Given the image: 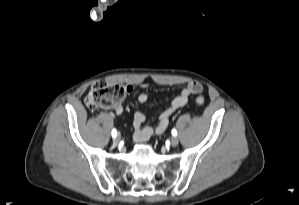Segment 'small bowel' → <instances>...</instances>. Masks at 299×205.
Segmentation results:
<instances>
[{"mask_svg": "<svg viewBox=\"0 0 299 205\" xmlns=\"http://www.w3.org/2000/svg\"><path fill=\"white\" fill-rule=\"evenodd\" d=\"M127 93L130 94L133 91L132 86H126ZM202 90V86L198 82H190L188 83L181 92L170 102L168 107L163 110L159 117L158 122L155 127L144 126L146 122V115L141 111H136L133 115V138L136 142L142 143L148 141L154 135H160L166 131L169 126L170 118L174 114V112L184 107L189 98L193 95L200 93ZM149 99L148 94L141 93L137 96V102L139 104L146 103ZM113 110L116 114L120 115L123 113V106L117 105L113 107Z\"/></svg>", "mask_w": 299, "mask_h": 205, "instance_id": "1", "label": "small bowel"}]
</instances>
